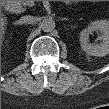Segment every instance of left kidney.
Listing matches in <instances>:
<instances>
[{"instance_id":"left-kidney-1","label":"left kidney","mask_w":109,"mask_h":109,"mask_svg":"<svg viewBox=\"0 0 109 109\" xmlns=\"http://www.w3.org/2000/svg\"><path fill=\"white\" fill-rule=\"evenodd\" d=\"M94 31L101 32L99 45L89 43V34ZM80 44L82 50L88 55L103 57L109 53V23L107 20H97L92 22L86 29L80 32Z\"/></svg>"}]
</instances>
